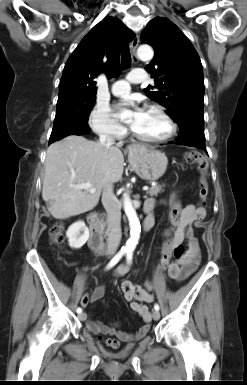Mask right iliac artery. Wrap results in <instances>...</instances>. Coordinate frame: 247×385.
<instances>
[{"label": "right iliac artery", "mask_w": 247, "mask_h": 385, "mask_svg": "<svg viewBox=\"0 0 247 385\" xmlns=\"http://www.w3.org/2000/svg\"><path fill=\"white\" fill-rule=\"evenodd\" d=\"M127 251L125 250H120L113 258L112 260L108 263L106 269H110L112 268L113 266H115L119 261L120 259L125 255ZM77 313L80 314L82 312V309L80 307L77 308Z\"/></svg>", "instance_id": "1"}]
</instances>
